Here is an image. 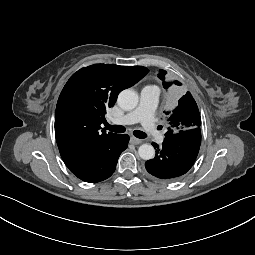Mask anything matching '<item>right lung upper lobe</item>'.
Returning <instances> with one entry per match:
<instances>
[{"label": "right lung upper lobe", "instance_id": "obj_1", "mask_svg": "<svg viewBox=\"0 0 255 255\" xmlns=\"http://www.w3.org/2000/svg\"><path fill=\"white\" fill-rule=\"evenodd\" d=\"M148 71L142 66L94 64L70 77L55 112V137L67 166L118 141L119 134L106 133L100 125L118 94L136 84Z\"/></svg>", "mask_w": 255, "mask_h": 255}]
</instances>
